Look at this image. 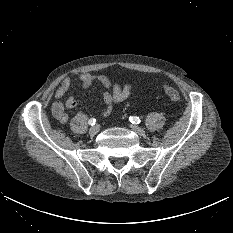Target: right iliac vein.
<instances>
[{
    "label": "right iliac vein",
    "mask_w": 233,
    "mask_h": 233,
    "mask_svg": "<svg viewBox=\"0 0 233 233\" xmlns=\"http://www.w3.org/2000/svg\"><path fill=\"white\" fill-rule=\"evenodd\" d=\"M99 130H100V126L96 124L89 129V133L90 135H95L99 132Z\"/></svg>",
    "instance_id": "obj_1"
}]
</instances>
